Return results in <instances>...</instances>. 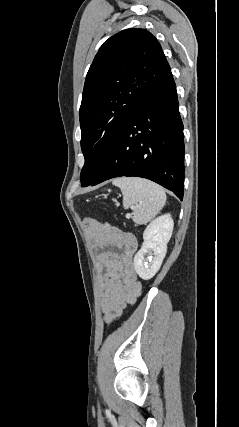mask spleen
<instances>
[{"mask_svg": "<svg viewBox=\"0 0 239 427\" xmlns=\"http://www.w3.org/2000/svg\"><path fill=\"white\" fill-rule=\"evenodd\" d=\"M123 194L124 208L134 207L133 221L146 224L153 219L166 203L164 189L158 184L136 177H122L113 180Z\"/></svg>", "mask_w": 239, "mask_h": 427, "instance_id": "spleen-1", "label": "spleen"}]
</instances>
